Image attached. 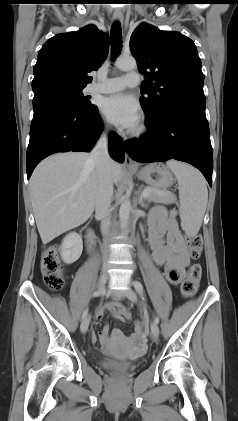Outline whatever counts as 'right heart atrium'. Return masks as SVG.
<instances>
[{
    "instance_id": "d8ad5b80",
    "label": "right heart atrium",
    "mask_w": 238,
    "mask_h": 421,
    "mask_svg": "<svg viewBox=\"0 0 238 421\" xmlns=\"http://www.w3.org/2000/svg\"><path fill=\"white\" fill-rule=\"evenodd\" d=\"M105 130H108L107 126H105Z\"/></svg>"
}]
</instances>
